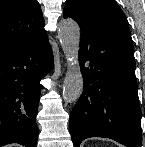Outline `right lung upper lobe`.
<instances>
[{
    "instance_id": "right-lung-upper-lobe-1",
    "label": "right lung upper lobe",
    "mask_w": 145,
    "mask_h": 147,
    "mask_svg": "<svg viewBox=\"0 0 145 147\" xmlns=\"http://www.w3.org/2000/svg\"><path fill=\"white\" fill-rule=\"evenodd\" d=\"M45 34L37 0H0V55Z\"/></svg>"
}]
</instances>
